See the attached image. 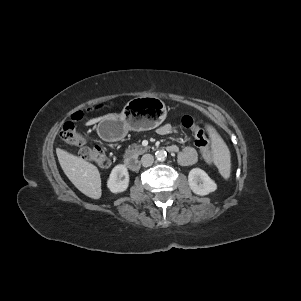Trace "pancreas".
<instances>
[{
	"label": "pancreas",
	"instance_id": "1",
	"mask_svg": "<svg viewBox=\"0 0 301 301\" xmlns=\"http://www.w3.org/2000/svg\"><path fill=\"white\" fill-rule=\"evenodd\" d=\"M146 151V148L142 147L138 144H133L129 146V148L125 151V156H133L137 157L141 154H143Z\"/></svg>",
	"mask_w": 301,
	"mask_h": 301
}]
</instances>
